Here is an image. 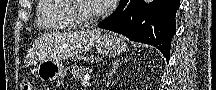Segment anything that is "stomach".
<instances>
[{"instance_id":"1","label":"stomach","mask_w":216,"mask_h":90,"mask_svg":"<svg viewBox=\"0 0 216 90\" xmlns=\"http://www.w3.org/2000/svg\"><path fill=\"white\" fill-rule=\"evenodd\" d=\"M96 49L99 53L106 56H116L126 50L124 39L117 34H104L96 43ZM66 69L60 61H44L37 67V77L41 81H55L65 77Z\"/></svg>"}]
</instances>
